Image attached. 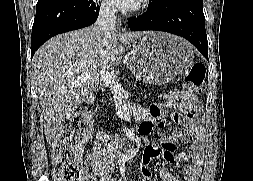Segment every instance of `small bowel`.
Listing matches in <instances>:
<instances>
[{
	"label": "small bowel",
	"mask_w": 253,
	"mask_h": 181,
	"mask_svg": "<svg viewBox=\"0 0 253 181\" xmlns=\"http://www.w3.org/2000/svg\"><path fill=\"white\" fill-rule=\"evenodd\" d=\"M184 103L181 100V92L172 91L165 95L163 103H157L150 107L148 111H142L141 117L143 122L138 128L139 135L147 143L146 148L142 154V164L140 168V175L142 181H147L151 176L150 163L153 159L163 157L171 163L184 164V180L185 181H198L201 166L203 164V139L198 131L193 128L191 120L186 121L187 130L180 137L181 140H189L193 133L196 132L197 137L192 141L189 153L179 152L174 153L177 148L178 140L174 136H165L160 140V145L148 143V135L152 132L154 126H161L164 124V109L170 107L183 108ZM175 121H180L181 116L175 113L173 116ZM112 138L105 132H99L96 139L92 142L91 146L87 149V159L93 167L94 174L100 181H108L111 176L112 162L114 153L111 149H107ZM160 181H182L174 177L170 171L161 166L157 172Z\"/></svg>",
	"instance_id": "c3829d8e"
}]
</instances>
